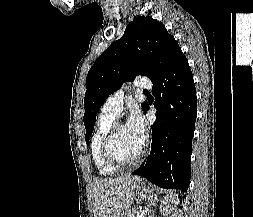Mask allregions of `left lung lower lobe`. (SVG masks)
Instances as JSON below:
<instances>
[{"label":"left lung lower lobe","instance_id":"left-lung-lower-lobe-1","mask_svg":"<svg viewBox=\"0 0 253 217\" xmlns=\"http://www.w3.org/2000/svg\"><path fill=\"white\" fill-rule=\"evenodd\" d=\"M152 93L157 122L152 127L151 151L133 174L161 188L187 191L197 104L193 75L183 53L153 81ZM148 109L147 104L145 113Z\"/></svg>","mask_w":253,"mask_h":217}]
</instances>
